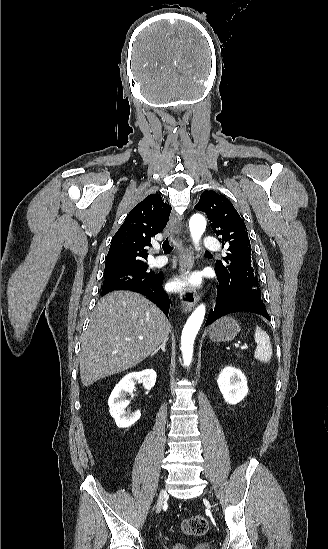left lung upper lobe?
I'll return each instance as SVG.
<instances>
[{
    "instance_id": "left-lung-upper-lobe-1",
    "label": "left lung upper lobe",
    "mask_w": 328,
    "mask_h": 549,
    "mask_svg": "<svg viewBox=\"0 0 328 549\" xmlns=\"http://www.w3.org/2000/svg\"><path fill=\"white\" fill-rule=\"evenodd\" d=\"M195 209L205 212L211 227L227 247L224 262H216V273L224 279L258 283L251 264V245L247 228L233 204L215 191H204ZM260 294V290H258Z\"/></svg>"
}]
</instances>
